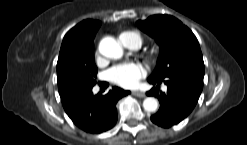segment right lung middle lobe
<instances>
[{
    "label": "right lung middle lobe",
    "mask_w": 247,
    "mask_h": 145,
    "mask_svg": "<svg viewBox=\"0 0 247 145\" xmlns=\"http://www.w3.org/2000/svg\"><path fill=\"white\" fill-rule=\"evenodd\" d=\"M97 72L93 48H84L75 44L61 46L57 62L60 96L80 87L94 86Z\"/></svg>",
    "instance_id": "obj_1"
}]
</instances>
